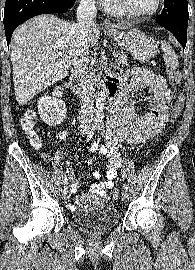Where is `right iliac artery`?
Here are the masks:
<instances>
[{"label":"right iliac artery","mask_w":195,"mask_h":270,"mask_svg":"<svg viewBox=\"0 0 195 270\" xmlns=\"http://www.w3.org/2000/svg\"><path fill=\"white\" fill-rule=\"evenodd\" d=\"M96 129H97V125L94 124V125L90 128L89 132L87 133V139H86V141L91 140V138L93 137V135H94ZM67 180H68V179H67V176H65V178H64V180H63V183L66 184V183H67Z\"/></svg>","instance_id":"right-iliac-artery-1"}]
</instances>
